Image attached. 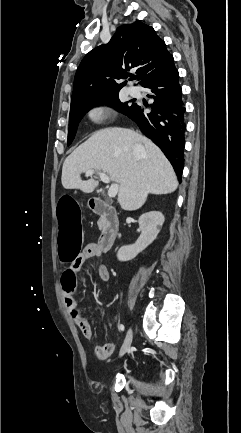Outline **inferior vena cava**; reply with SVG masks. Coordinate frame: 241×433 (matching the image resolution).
<instances>
[{"label": "inferior vena cava", "mask_w": 241, "mask_h": 433, "mask_svg": "<svg viewBox=\"0 0 241 433\" xmlns=\"http://www.w3.org/2000/svg\"><path fill=\"white\" fill-rule=\"evenodd\" d=\"M141 148H142V146H141L140 144H137V145L135 146V150H136V151H139Z\"/></svg>", "instance_id": "inferior-vena-cava-1"}]
</instances>
